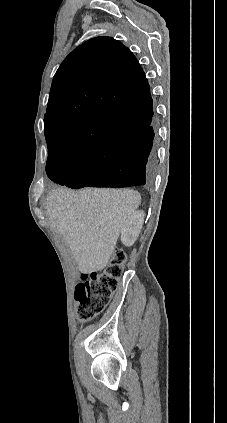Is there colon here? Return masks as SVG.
<instances>
[{"mask_svg":"<svg viewBox=\"0 0 227 423\" xmlns=\"http://www.w3.org/2000/svg\"><path fill=\"white\" fill-rule=\"evenodd\" d=\"M125 260L124 252L118 250L103 271L82 275L75 291L77 317L81 322L90 321L107 306L118 287Z\"/></svg>","mask_w":227,"mask_h":423,"instance_id":"colon-1","label":"colon"}]
</instances>
